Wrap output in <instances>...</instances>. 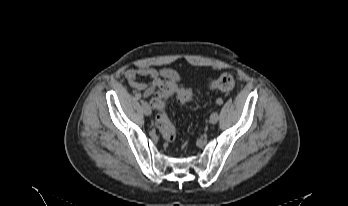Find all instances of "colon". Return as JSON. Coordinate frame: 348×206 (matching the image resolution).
Masks as SVG:
<instances>
[{
    "mask_svg": "<svg viewBox=\"0 0 348 206\" xmlns=\"http://www.w3.org/2000/svg\"><path fill=\"white\" fill-rule=\"evenodd\" d=\"M235 81L232 75L222 74L216 80L211 82V88L221 91H231L234 88ZM176 94L177 101L180 104H186L193 99L192 90L178 86L174 81H163L159 89L154 93L151 99V106L157 111L156 125L167 141H173L176 137V128L170 122L165 112V103L169 96Z\"/></svg>",
    "mask_w": 348,
    "mask_h": 206,
    "instance_id": "1",
    "label": "colon"
}]
</instances>
